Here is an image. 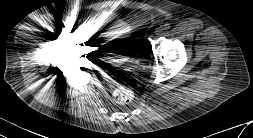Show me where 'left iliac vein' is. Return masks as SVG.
Returning <instances> with one entry per match:
<instances>
[{"label":"left iliac vein","instance_id":"left-iliac-vein-1","mask_svg":"<svg viewBox=\"0 0 253 138\" xmlns=\"http://www.w3.org/2000/svg\"><path fill=\"white\" fill-rule=\"evenodd\" d=\"M156 35H160L161 34V30L158 29L156 32H155Z\"/></svg>","mask_w":253,"mask_h":138}]
</instances>
